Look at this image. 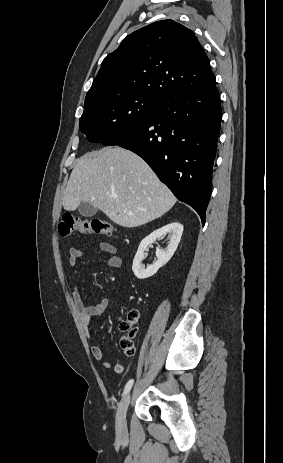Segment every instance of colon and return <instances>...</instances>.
Returning <instances> with one entry per match:
<instances>
[{"label":"colon","mask_w":283,"mask_h":463,"mask_svg":"<svg viewBox=\"0 0 283 463\" xmlns=\"http://www.w3.org/2000/svg\"><path fill=\"white\" fill-rule=\"evenodd\" d=\"M59 233L62 236H68L74 232L79 233H96L107 236L115 234L116 229L108 221H105L99 217H75L70 214L62 216L59 226ZM139 318V312L137 310H130L125 317L120 320V330L123 333L121 340V346L125 355L132 356L135 352V346L133 343V337L137 331V322Z\"/></svg>","instance_id":"1"}]
</instances>
